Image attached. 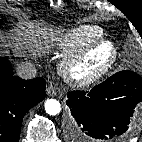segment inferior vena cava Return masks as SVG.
I'll use <instances>...</instances> for the list:
<instances>
[{
    "mask_svg": "<svg viewBox=\"0 0 142 142\" xmlns=\"http://www.w3.org/2000/svg\"><path fill=\"white\" fill-rule=\"evenodd\" d=\"M16 73L20 78L28 80L35 78L37 69L35 64L25 61L17 66Z\"/></svg>",
    "mask_w": 142,
    "mask_h": 142,
    "instance_id": "inferior-vena-cava-1",
    "label": "inferior vena cava"
}]
</instances>
